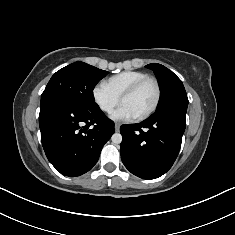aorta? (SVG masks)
<instances>
[{
	"instance_id": "762f6f07",
	"label": "aorta",
	"mask_w": 235,
	"mask_h": 235,
	"mask_svg": "<svg viewBox=\"0 0 235 235\" xmlns=\"http://www.w3.org/2000/svg\"><path fill=\"white\" fill-rule=\"evenodd\" d=\"M111 140L114 144H120L122 142V135L120 133H115L112 135Z\"/></svg>"
}]
</instances>
